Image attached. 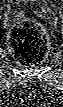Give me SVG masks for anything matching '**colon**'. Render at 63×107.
<instances>
[{
  "label": "colon",
  "mask_w": 63,
  "mask_h": 107,
  "mask_svg": "<svg viewBox=\"0 0 63 107\" xmlns=\"http://www.w3.org/2000/svg\"><path fill=\"white\" fill-rule=\"evenodd\" d=\"M9 43L14 57L21 64H38L47 55L49 37L40 22L29 21L13 28Z\"/></svg>",
  "instance_id": "1"
}]
</instances>
